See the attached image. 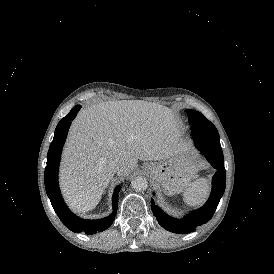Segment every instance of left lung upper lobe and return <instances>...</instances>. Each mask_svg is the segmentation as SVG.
I'll return each mask as SVG.
<instances>
[{"mask_svg": "<svg viewBox=\"0 0 274 274\" xmlns=\"http://www.w3.org/2000/svg\"><path fill=\"white\" fill-rule=\"evenodd\" d=\"M188 114V121L194 122L201 127H215L209 120H207L201 113L195 110H186Z\"/></svg>", "mask_w": 274, "mask_h": 274, "instance_id": "5c2ea615", "label": "left lung upper lobe"}]
</instances>
